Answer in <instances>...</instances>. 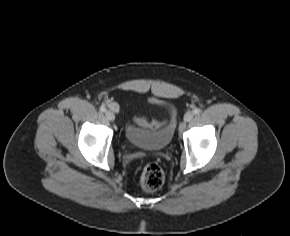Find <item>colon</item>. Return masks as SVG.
Segmentation results:
<instances>
[{"label": "colon", "instance_id": "1", "mask_svg": "<svg viewBox=\"0 0 290 236\" xmlns=\"http://www.w3.org/2000/svg\"><path fill=\"white\" fill-rule=\"evenodd\" d=\"M136 123L144 128L159 129L166 124V120L147 119L146 117H138ZM165 181V175L162 168L155 163L145 165L140 173V184L146 191H156L160 189Z\"/></svg>", "mask_w": 290, "mask_h": 236}]
</instances>
